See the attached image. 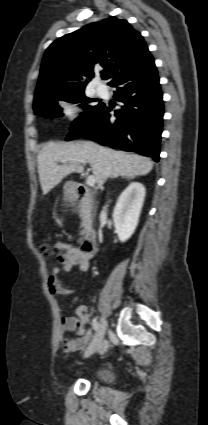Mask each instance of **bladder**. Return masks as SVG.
I'll return each instance as SVG.
<instances>
[{
	"mask_svg": "<svg viewBox=\"0 0 208 425\" xmlns=\"http://www.w3.org/2000/svg\"><path fill=\"white\" fill-rule=\"evenodd\" d=\"M93 376L96 379H99V380H102V381H105V382H108V381L111 380V376H110L106 367H98V368L94 369Z\"/></svg>",
	"mask_w": 208,
	"mask_h": 425,
	"instance_id": "1",
	"label": "bladder"
}]
</instances>
